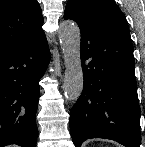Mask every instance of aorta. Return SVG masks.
Returning <instances> with one entry per match:
<instances>
[{
    "label": "aorta",
    "instance_id": "aorta-1",
    "mask_svg": "<svg viewBox=\"0 0 145 147\" xmlns=\"http://www.w3.org/2000/svg\"><path fill=\"white\" fill-rule=\"evenodd\" d=\"M58 36L65 63L64 95L67 100L74 101L83 90L80 29L73 21L66 20L60 24Z\"/></svg>",
    "mask_w": 145,
    "mask_h": 147
}]
</instances>
